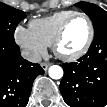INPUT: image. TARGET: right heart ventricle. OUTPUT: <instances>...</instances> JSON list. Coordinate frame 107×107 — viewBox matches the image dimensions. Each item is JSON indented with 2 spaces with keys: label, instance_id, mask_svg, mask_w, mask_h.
I'll return each instance as SVG.
<instances>
[{
  "label": "right heart ventricle",
  "instance_id": "right-heart-ventricle-1",
  "mask_svg": "<svg viewBox=\"0 0 107 107\" xmlns=\"http://www.w3.org/2000/svg\"><path fill=\"white\" fill-rule=\"evenodd\" d=\"M75 13L77 12L65 10L44 18L34 19L30 21L29 28L46 46H51L64 21Z\"/></svg>",
  "mask_w": 107,
  "mask_h": 107
}]
</instances>
